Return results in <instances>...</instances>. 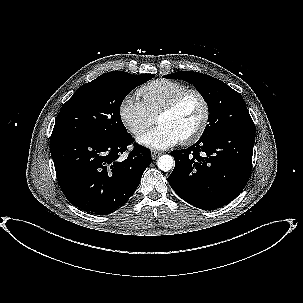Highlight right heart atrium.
Returning a JSON list of instances; mask_svg holds the SVG:
<instances>
[{"label":"right heart atrium","mask_w":303,"mask_h":303,"mask_svg":"<svg viewBox=\"0 0 303 303\" xmlns=\"http://www.w3.org/2000/svg\"><path fill=\"white\" fill-rule=\"evenodd\" d=\"M118 112L122 124L134 136L141 135L154 123V116L144 103L133 95H126L122 99Z\"/></svg>","instance_id":"1"}]
</instances>
